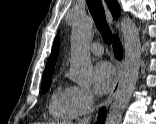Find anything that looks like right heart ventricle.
<instances>
[{"label":"right heart ventricle","mask_w":156,"mask_h":124,"mask_svg":"<svg viewBox=\"0 0 156 124\" xmlns=\"http://www.w3.org/2000/svg\"><path fill=\"white\" fill-rule=\"evenodd\" d=\"M69 92L70 87L65 89L58 87L54 90L49 103V113L53 118L57 120L73 118L69 106Z\"/></svg>","instance_id":"obj_1"}]
</instances>
